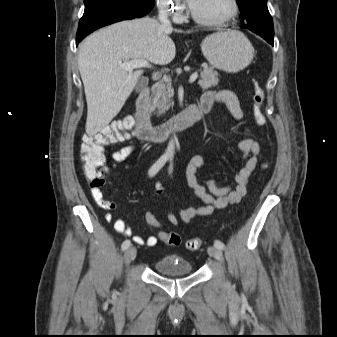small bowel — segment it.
Returning a JSON list of instances; mask_svg holds the SVG:
<instances>
[{
	"label": "small bowel",
	"mask_w": 337,
	"mask_h": 337,
	"mask_svg": "<svg viewBox=\"0 0 337 337\" xmlns=\"http://www.w3.org/2000/svg\"><path fill=\"white\" fill-rule=\"evenodd\" d=\"M200 102L209 105L210 109L215 102L224 103L232 116L236 119H241L244 115L237 96L229 90H221L217 92L208 91L202 95ZM239 149L243 155L245 163L236 174L234 178L235 184L233 186H219L214 178L207 179L205 184L199 183L196 173L208 163V159L201 155H195L189 160L185 168L186 181L188 186L193 189L196 197L203 203V205L182 209L179 213V217L182 222L190 223L196 218L207 217L217 209L239 203L246 195L247 184L257 166L261 148L255 140L247 136L240 141ZM135 151L136 146L134 144L125 145L114 151L111 155V159L115 163H120L132 156ZM106 171H109V169H106ZM90 192L94 202L101 209L108 211L105 214V220L108 222L113 221L116 232L124 236H132L134 242L139 245L152 247L158 243L160 239L159 236H149L147 238H143L139 235H133L132 228L124 219L114 218L111 211L116 208V204L104 198L100 187L92 186ZM154 193L157 196L164 193V187L159 182L154 184ZM179 217L173 212L167 214V220L173 226L179 225ZM145 221L151 228L163 227V224L157 219L153 212H146Z\"/></svg>",
	"instance_id": "c3829d8e"
}]
</instances>
